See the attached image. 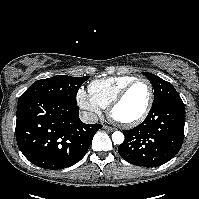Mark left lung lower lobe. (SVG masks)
<instances>
[{
    "instance_id": "obj_1",
    "label": "left lung lower lobe",
    "mask_w": 199,
    "mask_h": 199,
    "mask_svg": "<svg viewBox=\"0 0 199 199\" xmlns=\"http://www.w3.org/2000/svg\"><path fill=\"white\" fill-rule=\"evenodd\" d=\"M185 108L180 96L152 105L139 126L123 130L125 140L118 152L127 162L157 167L172 159L184 138Z\"/></svg>"
}]
</instances>
